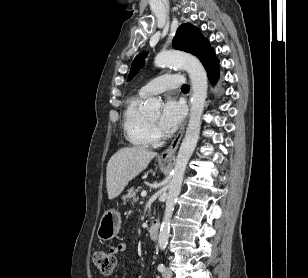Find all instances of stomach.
Masks as SVG:
<instances>
[{
    "instance_id": "1",
    "label": "stomach",
    "mask_w": 308,
    "mask_h": 278,
    "mask_svg": "<svg viewBox=\"0 0 308 278\" xmlns=\"http://www.w3.org/2000/svg\"><path fill=\"white\" fill-rule=\"evenodd\" d=\"M121 228V216L116 210L106 211L100 219L97 236L100 240L107 241L114 238Z\"/></svg>"
}]
</instances>
